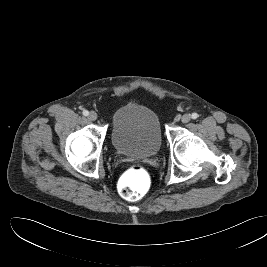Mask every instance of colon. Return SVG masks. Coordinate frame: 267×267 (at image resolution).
<instances>
[{
  "label": "colon",
  "mask_w": 267,
  "mask_h": 267,
  "mask_svg": "<svg viewBox=\"0 0 267 267\" xmlns=\"http://www.w3.org/2000/svg\"><path fill=\"white\" fill-rule=\"evenodd\" d=\"M118 187L124 199L138 200L147 193L150 187V176L144 167L134 165L122 175Z\"/></svg>",
  "instance_id": "colon-1"
}]
</instances>
